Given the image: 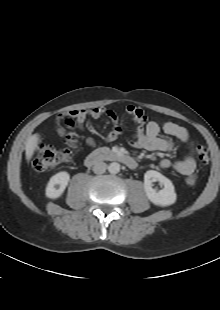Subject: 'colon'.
Segmentation results:
<instances>
[{
    "label": "colon",
    "instance_id": "obj_1",
    "mask_svg": "<svg viewBox=\"0 0 220 310\" xmlns=\"http://www.w3.org/2000/svg\"><path fill=\"white\" fill-rule=\"evenodd\" d=\"M77 141L76 134L71 133L67 138L70 148L59 149L45 144H38L33 160L34 168L37 171H46L68 161L71 155V148L76 146ZM196 157L203 166L208 165L210 161L209 151L204 145H198L196 147Z\"/></svg>",
    "mask_w": 220,
    "mask_h": 310
}]
</instances>
